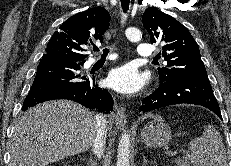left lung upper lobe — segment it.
Wrapping results in <instances>:
<instances>
[{
    "label": "left lung upper lobe",
    "mask_w": 231,
    "mask_h": 166,
    "mask_svg": "<svg viewBox=\"0 0 231 166\" xmlns=\"http://www.w3.org/2000/svg\"><path fill=\"white\" fill-rule=\"evenodd\" d=\"M142 20L151 43L162 44L167 65L158 68L160 80L181 75L208 78L199 47L185 26L155 8L147 9Z\"/></svg>",
    "instance_id": "5c2ea615"
}]
</instances>
